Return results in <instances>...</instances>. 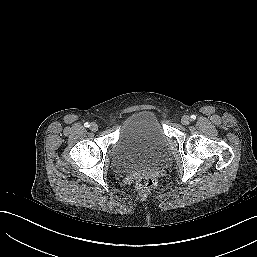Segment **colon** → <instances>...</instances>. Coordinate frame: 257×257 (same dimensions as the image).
Instances as JSON below:
<instances>
[{"label": "colon", "mask_w": 257, "mask_h": 257, "mask_svg": "<svg viewBox=\"0 0 257 257\" xmlns=\"http://www.w3.org/2000/svg\"><path fill=\"white\" fill-rule=\"evenodd\" d=\"M159 185L160 184L156 179H154L153 177H149V176L141 177L137 181V189L141 193H147V192L153 191Z\"/></svg>", "instance_id": "1"}]
</instances>
